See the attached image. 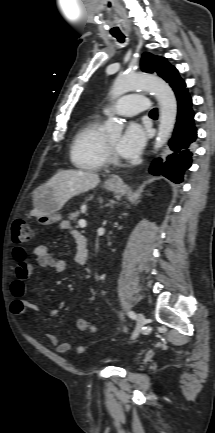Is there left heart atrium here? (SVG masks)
<instances>
[{"instance_id": "obj_1", "label": "left heart atrium", "mask_w": 215, "mask_h": 433, "mask_svg": "<svg viewBox=\"0 0 215 433\" xmlns=\"http://www.w3.org/2000/svg\"><path fill=\"white\" fill-rule=\"evenodd\" d=\"M146 142V131L137 122H130L116 145L119 155L125 158L137 156Z\"/></svg>"}]
</instances>
